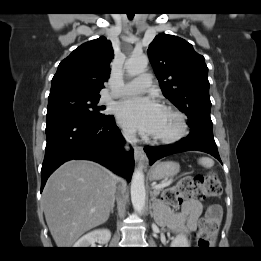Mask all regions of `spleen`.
Returning a JSON list of instances; mask_svg holds the SVG:
<instances>
[{
  "instance_id": "3e777b00",
  "label": "spleen",
  "mask_w": 261,
  "mask_h": 261,
  "mask_svg": "<svg viewBox=\"0 0 261 261\" xmlns=\"http://www.w3.org/2000/svg\"><path fill=\"white\" fill-rule=\"evenodd\" d=\"M199 164L205 168H211L214 165V161L209 157H202L199 159Z\"/></svg>"
}]
</instances>
